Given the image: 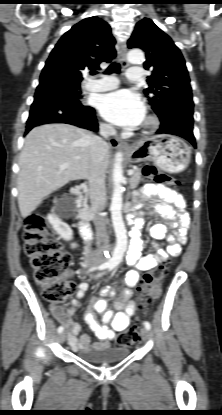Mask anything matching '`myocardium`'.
<instances>
[{"instance_id":"myocardium-1","label":"myocardium","mask_w":222,"mask_h":415,"mask_svg":"<svg viewBox=\"0 0 222 415\" xmlns=\"http://www.w3.org/2000/svg\"><path fill=\"white\" fill-rule=\"evenodd\" d=\"M158 119L152 115H146L141 124V129L144 132H150L157 128Z\"/></svg>"}]
</instances>
